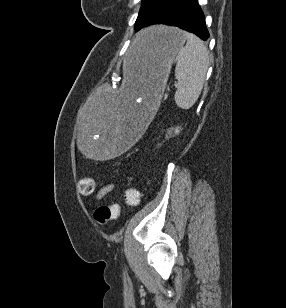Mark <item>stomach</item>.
Wrapping results in <instances>:
<instances>
[{
    "instance_id": "stomach-1",
    "label": "stomach",
    "mask_w": 286,
    "mask_h": 308,
    "mask_svg": "<svg viewBox=\"0 0 286 308\" xmlns=\"http://www.w3.org/2000/svg\"><path fill=\"white\" fill-rule=\"evenodd\" d=\"M184 32L175 27L154 26L144 30L124 55L125 86L118 91H95L85 100L76 125L77 148L82 159H116L131 144H141L142 125H149L150 107H157L163 95L172 63L183 48Z\"/></svg>"
}]
</instances>
